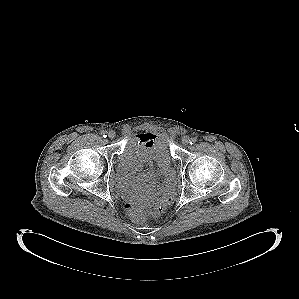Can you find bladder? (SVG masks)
Returning a JSON list of instances; mask_svg holds the SVG:
<instances>
[{
    "label": "bladder",
    "instance_id": "bladder-1",
    "mask_svg": "<svg viewBox=\"0 0 299 299\" xmlns=\"http://www.w3.org/2000/svg\"><path fill=\"white\" fill-rule=\"evenodd\" d=\"M150 161L165 168L167 175L175 178L174 159L166 135L159 133L150 144H144L136 137H129L115 159L113 176L117 183H123L137 171V164Z\"/></svg>",
    "mask_w": 299,
    "mask_h": 299
}]
</instances>
